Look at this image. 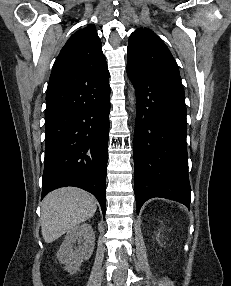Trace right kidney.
I'll use <instances>...</instances> for the list:
<instances>
[{
    "label": "right kidney",
    "instance_id": "ca27d5eb",
    "mask_svg": "<svg viewBox=\"0 0 231 286\" xmlns=\"http://www.w3.org/2000/svg\"><path fill=\"white\" fill-rule=\"evenodd\" d=\"M78 242V247L74 244ZM95 234L91 225L84 223L67 232L61 244L57 258L65 265V270L76 273L84 260H88L94 250Z\"/></svg>",
    "mask_w": 231,
    "mask_h": 286
}]
</instances>
